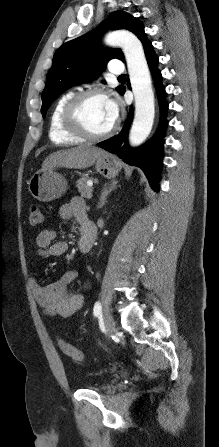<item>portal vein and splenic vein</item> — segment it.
<instances>
[{
	"label": "portal vein and splenic vein",
	"instance_id": "1",
	"mask_svg": "<svg viewBox=\"0 0 219 447\" xmlns=\"http://www.w3.org/2000/svg\"><path fill=\"white\" fill-rule=\"evenodd\" d=\"M87 185H88L89 187H92L93 182H92V181H88V182H87ZM91 197H92V194H89L87 198H91Z\"/></svg>",
	"mask_w": 219,
	"mask_h": 447
}]
</instances>
